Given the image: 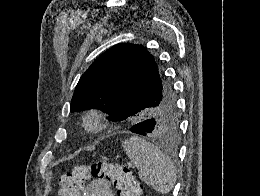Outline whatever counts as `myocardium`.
Here are the masks:
<instances>
[{"label": "myocardium", "instance_id": "f54148a6", "mask_svg": "<svg viewBox=\"0 0 260 196\" xmlns=\"http://www.w3.org/2000/svg\"><path fill=\"white\" fill-rule=\"evenodd\" d=\"M85 127L84 130L87 133L95 134L103 131L107 125V114L97 108L88 109L84 115Z\"/></svg>", "mask_w": 260, "mask_h": 196}]
</instances>
